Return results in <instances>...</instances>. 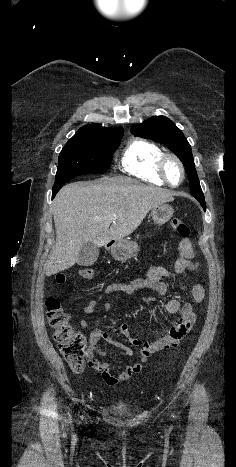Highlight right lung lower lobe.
<instances>
[{"mask_svg": "<svg viewBox=\"0 0 236 467\" xmlns=\"http://www.w3.org/2000/svg\"><path fill=\"white\" fill-rule=\"evenodd\" d=\"M63 185L53 186L52 198L57 194V192L62 188Z\"/></svg>", "mask_w": 236, "mask_h": 467, "instance_id": "1", "label": "right lung lower lobe"}]
</instances>
